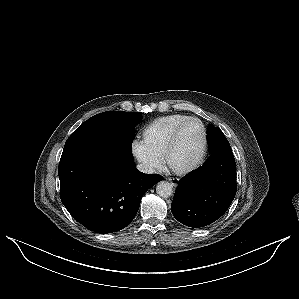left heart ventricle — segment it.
Wrapping results in <instances>:
<instances>
[{
	"instance_id": "1",
	"label": "left heart ventricle",
	"mask_w": 299,
	"mask_h": 299,
	"mask_svg": "<svg viewBox=\"0 0 299 299\" xmlns=\"http://www.w3.org/2000/svg\"><path fill=\"white\" fill-rule=\"evenodd\" d=\"M202 144V131L198 123L186 125L178 134L169 153V165L175 169L191 165L198 157Z\"/></svg>"
}]
</instances>
